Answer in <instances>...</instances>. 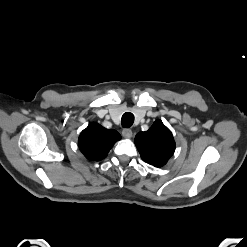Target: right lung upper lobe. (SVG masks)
Returning a JSON list of instances; mask_svg holds the SVG:
<instances>
[{
  "mask_svg": "<svg viewBox=\"0 0 247 247\" xmlns=\"http://www.w3.org/2000/svg\"><path fill=\"white\" fill-rule=\"evenodd\" d=\"M120 139L121 136L116 130L92 123L81 132L78 146L87 159L99 161L107 156L112 146Z\"/></svg>",
  "mask_w": 247,
  "mask_h": 247,
  "instance_id": "1",
  "label": "right lung upper lobe"
}]
</instances>
